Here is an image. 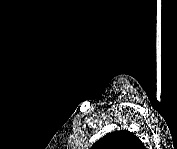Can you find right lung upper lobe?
Masks as SVG:
<instances>
[{
	"mask_svg": "<svg viewBox=\"0 0 177 149\" xmlns=\"http://www.w3.org/2000/svg\"><path fill=\"white\" fill-rule=\"evenodd\" d=\"M141 147H143L142 142L132 132L120 130L105 135L92 146V149H138Z\"/></svg>",
	"mask_w": 177,
	"mask_h": 149,
	"instance_id": "cb5924a9",
	"label": "right lung upper lobe"
}]
</instances>
